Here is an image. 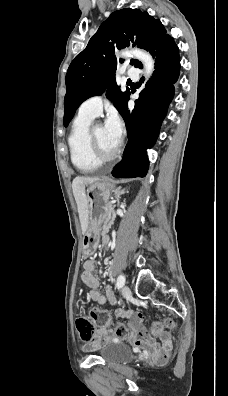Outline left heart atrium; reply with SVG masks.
Masks as SVG:
<instances>
[{"label":"left heart atrium","instance_id":"39dd6f15","mask_svg":"<svg viewBox=\"0 0 228 396\" xmlns=\"http://www.w3.org/2000/svg\"><path fill=\"white\" fill-rule=\"evenodd\" d=\"M104 127L110 134V136L119 142L122 133V124L119 116L115 112H111L104 124Z\"/></svg>","mask_w":228,"mask_h":396}]
</instances>
